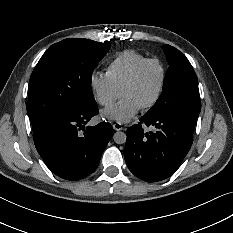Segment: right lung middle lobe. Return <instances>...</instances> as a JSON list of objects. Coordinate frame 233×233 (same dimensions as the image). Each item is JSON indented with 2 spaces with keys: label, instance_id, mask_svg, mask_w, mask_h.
I'll use <instances>...</instances> for the list:
<instances>
[{
  "label": "right lung middle lobe",
  "instance_id": "obj_1",
  "mask_svg": "<svg viewBox=\"0 0 233 233\" xmlns=\"http://www.w3.org/2000/svg\"><path fill=\"white\" fill-rule=\"evenodd\" d=\"M108 42L69 38L51 45L30 77L27 112L32 124L64 117L84 101H94L92 72Z\"/></svg>",
  "mask_w": 233,
  "mask_h": 233
}]
</instances>
